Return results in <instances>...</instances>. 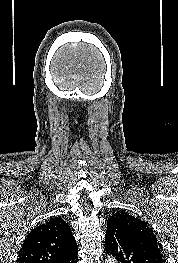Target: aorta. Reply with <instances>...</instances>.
Masks as SVG:
<instances>
[{
    "label": "aorta",
    "mask_w": 178,
    "mask_h": 263,
    "mask_svg": "<svg viewBox=\"0 0 178 263\" xmlns=\"http://www.w3.org/2000/svg\"><path fill=\"white\" fill-rule=\"evenodd\" d=\"M105 263H117L116 259L113 258V257H108L106 260H105Z\"/></svg>",
    "instance_id": "1"
}]
</instances>
